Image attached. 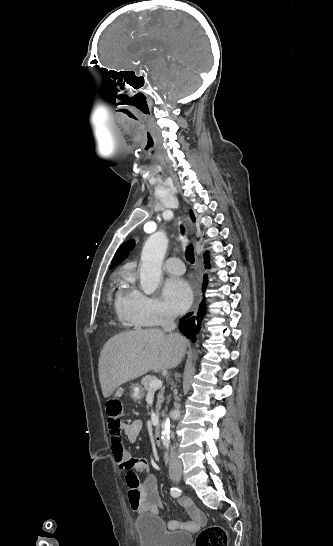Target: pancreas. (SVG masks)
<instances>
[{
    "mask_svg": "<svg viewBox=\"0 0 333 546\" xmlns=\"http://www.w3.org/2000/svg\"><path fill=\"white\" fill-rule=\"evenodd\" d=\"M153 379H156L155 376H152V375H147L145 377L142 378L141 380V384L144 386L143 390L144 392L148 391L150 389V383ZM163 394H164V390L162 389L158 395H157V412L160 410V406H161V403H162V398H163Z\"/></svg>",
    "mask_w": 333,
    "mask_h": 546,
    "instance_id": "cf45deb5",
    "label": "pancreas"
}]
</instances>
